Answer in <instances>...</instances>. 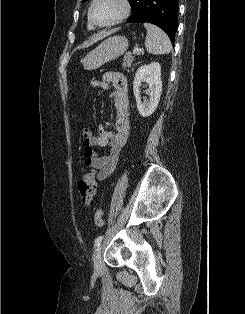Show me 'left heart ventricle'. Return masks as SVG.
<instances>
[{
    "instance_id": "left-heart-ventricle-1",
    "label": "left heart ventricle",
    "mask_w": 245,
    "mask_h": 314,
    "mask_svg": "<svg viewBox=\"0 0 245 314\" xmlns=\"http://www.w3.org/2000/svg\"><path fill=\"white\" fill-rule=\"evenodd\" d=\"M118 0H98L93 8V19L100 24L112 21L120 13Z\"/></svg>"
}]
</instances>
